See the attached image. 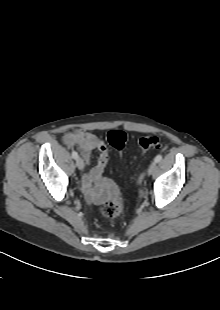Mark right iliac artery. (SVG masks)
<instances>
[{
	"mask_svg": "<svg viewBox=\"0 0 220 310\" xmlns=\"http://www.w3.org/2000/svg\"><path fill=\"white\" fill-rule=\"evenodd\" d=\"M72 157H73L74 159H77V158H78V153H77L76 151H73V152H72Z\"/></svg>",
	"mask_w": 220,
	"mask_h": 310,
	"instance_id": "right-iliac-artery-1",
	"label": "right iliac artery"
}]
</instances>
